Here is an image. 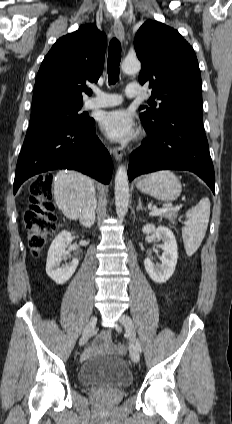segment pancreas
<instances>
[{"label": "pancreas", "instance_id": "1", "mask_svg": "<svg viewBox=\"0 0 232 424\" xmlns=\"http://www.w3.org/2000/svg\"><path fill=\"white\" fill-rule=\"evenodd\" d=\"M166 218L169 219L174 224V219L177 217V215L173 212H165L160 214V218Z\"/></svg>", "mask_w": 232, "mask_h": 424}]
</instances>
